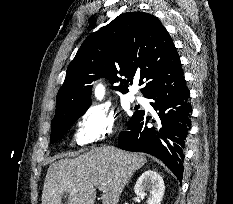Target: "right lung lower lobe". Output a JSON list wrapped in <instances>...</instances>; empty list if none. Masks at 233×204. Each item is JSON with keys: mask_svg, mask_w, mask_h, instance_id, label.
Listing matches in <instances>:
<instances>
[{"mask_svg": "<svg viewBox=\"0 0 233 204\" xmlns=\"http://www.w3.org/2000/svg\"><path fill=\"white\" fill-rule=\"evenodd\" d=\"M144 97L152 99L158 112L155 127H147L150 120L145 111L128 122L127 131L118 137L121 149L144 152L162 160L182 180L186 142L191 126L190 93L186 86L181 62L173 64L145 91Z\"/></svg>", "mask_w": 233, "mask_h": 204, "instance_id": "98d812e1", "label": "right lung lower lobe"}]
</instances>
